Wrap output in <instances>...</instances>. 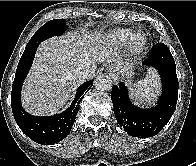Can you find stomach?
<instances>
[{"mask_svg": "<svg viewBox=\"0 0 196 166\" xmlns=\"http://www.w3.org/2000/svg\"><path fill=\"white\" fill-rule=\"evenodd\" d=\"M123 70H124V71H126L127 69H126V68H124Z\"/></svg>", "mask_w": 196, "mask_h": 166, "instance_id": "obj_1", "label": "stomach"}]
</instances>
